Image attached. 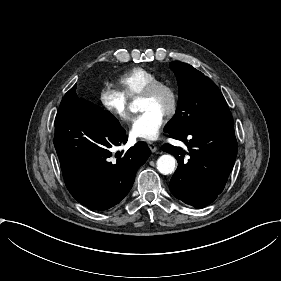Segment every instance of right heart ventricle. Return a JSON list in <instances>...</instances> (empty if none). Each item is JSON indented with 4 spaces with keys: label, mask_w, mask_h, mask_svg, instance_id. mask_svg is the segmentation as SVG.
<instances>
[{
    "label": "right heart ventricle",
    "mask_w": 281,
    "mask_h": 281,
    "mask_svg": "<svg viewBox=\"0 0 281 281\" xmlns=\"http://www.w3.org/2000/svg\"><path fill=\"white\" fill-rule=\"evenodd\" d=\"M158 76L145 67H134L117 80L121 94L128 100H133L153 82L158 81Z\"/></svg>",
    "instance_id": "1"
}]
</instances>
